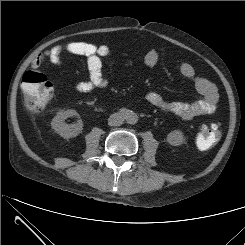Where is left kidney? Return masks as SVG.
I'll return each instance as SVG.
<instances>
[{"instance_id":"1","label":"left kidney","mask_w":245,"mask_h":245,"mask_svg":"<svg viewBox=\"0 0 245 245\" xmlns=\"http://www.w3.org/2000/svg\"><path fill=\"white\" fill-rule=\"evenodd\" d=\"M185 137L182 131L180 130H174L170 132L167 136V141L169 144L173 146L181 145L185 142Z\"/></svg>"}]
</instances>
